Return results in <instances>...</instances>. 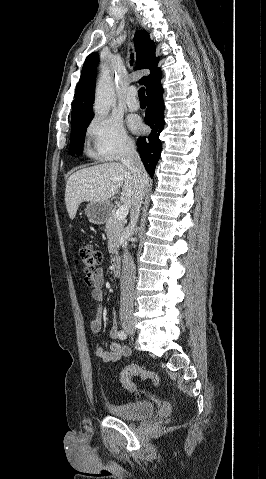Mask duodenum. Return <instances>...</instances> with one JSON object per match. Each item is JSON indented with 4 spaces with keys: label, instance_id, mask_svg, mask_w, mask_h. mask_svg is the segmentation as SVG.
<instances>
[{
    "label": "duodenum",
    "instance_id": "1",
    "mask_svg": "<svg viewBox=\"0 0 266 479\" xmlns=\"http://www.w3.org/2000/svg\"><path fill=\"white\" fill-rule=\"evenodd\" d=\"M120 269H121V257L115 255L111 259V271L116 276L120 273Z\"/></svg>",
    "mask_w": 266,
    "mask_h": 479
}]
</instances>
